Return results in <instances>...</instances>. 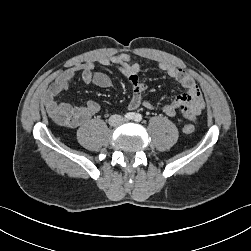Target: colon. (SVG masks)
Instances as JSON below:
<instances>
[{
  "instance_id": "5ec220e1",
  "label": "colon",
  "mask_w": 251,
  "mask_h": 251,
  "mask_svg": "<svg viewBox=\"0 0 251 251\" xmlns=\"http://www.w3.org/2000/svg\"><path fill=\"white\" fill-rule=\"evenodd\" d=\"M63 125H66L65 123H63ZM184 131L186 133H192L194 131V126L192 124H186L184 126Z\"/></svg>"
}]
</instances>
